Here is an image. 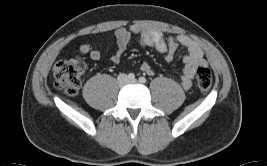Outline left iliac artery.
Wrapping results in <instances>:
<instances>
[{"instance_id":"left-iliac-artery-1","label":"left iliac artery","mask_w":267,"mask_h":166,"mask_svg":"<svg viewBox=\"0 0 267 166\" xmlns=\"http://www.w3.org/2000/svg\"><path fill=\"white\" fill-rule=\"evenodd\" d=\"M139 82L140 83H145L146 82V78L145 77H140L139 78Z\"/></svg>"}]
</instances>
